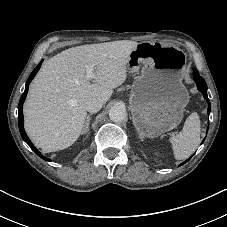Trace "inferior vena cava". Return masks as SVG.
Segmentation results:
<instances>
[{"mask_svg": "<svg viewBox=\"0 0 227 227\" xmlns=\"http://www.w3.org/2000/svg\"><path fill=\"white\" fill-rule=\"evenodd\" d=\"M103 100L100 98H91L85 103V108L90 113L99 111L103 106Z\"/></svg>", "mask_w": 227, "mask_h": 227, "instance_id": "obj_1", "label": "inferior vena cava"}]
</instances>
